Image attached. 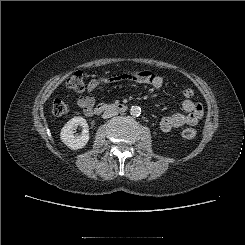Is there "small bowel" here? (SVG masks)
Here are the masks:
<instances>
[{
  "mask_svg": "<svg viewBox=\"0 0 245 245\" xmlns=\"http://www.w3.org/2000/svg\"><path fill=\"white\" fill-rule=\"evenodd\" d=\"M131 80L142 84H149L156 90L163 87V79L150 70H142L122 75L112 76L104 80L92 79L87 84L89 92L96 89L100 82H117ZM95 104V99L91 95L81 96L77 100V105L86 115H90ZM184 113H175L172 115L163 116L160 120V129L164 132L181 127L183 125H196L204 114L203 105L199 102H194L191 98H187L182 102Z\"/></svg>",
  "mask_w": 245,
  "mask_h": 245,
  "instance_id": "small-bowel-1",
  "label": "small bowel"
}]
</instances>
